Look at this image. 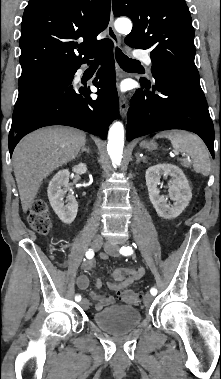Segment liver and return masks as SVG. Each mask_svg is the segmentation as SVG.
<instances>
[{
    "label": "liver",
    "mask_w": 221,
    "mask_h": 379,
    "mask_svg": "<svg viewBox=\"0 0 221 379\" xmlns=\"http://www.w3.org/2000/svg\"><path fill=\"white\" fill-rule=\"evenodd\" d=\"M85 143L84 132L67 127L42 128L20 141L12 158L24 213L32 207L42 181L75 159Z\"/></svg>",
    "instance_id": "obj_1"
}]
</instances>
